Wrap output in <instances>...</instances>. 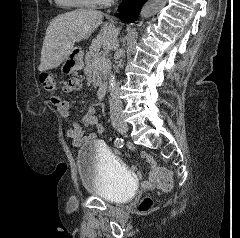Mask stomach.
Masks as SVG:
<instances>
[{"label": "stomach", "instance_id": "stomach-1", "mask_svg": "<svg viewBox=\"0 0 240 238\" xmlns=\"http://www.w3.org/2000/svg\"><path fill=\"white\" fill-rule=\"evenodd\" d=\"M83 67V55L79 47H74L70 54L64 59L61 72L64 75H69L74 71L80 70Z\"/></svg>", "mask_w": 240, "mask_h": 238}]
</instances>
